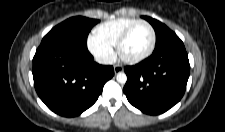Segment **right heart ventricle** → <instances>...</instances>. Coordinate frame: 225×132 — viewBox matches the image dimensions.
I'll list each match as a JSON object with an SVG mask.
<instances>
[{"label": "right heart ventricle", "mask_w": 225, "mask_h": 132, "mask_svg": "<svg viewBox=\"0 0 225 132\" xmlns=\"http://www.w3.org/2000/svg\"><path fill=\"white\" fill-rule=\"evenodd\" d=\"M135 21L137 19L129 17H120L105 21L95 27L94 36L100 41L114 47L121 33Z\"/></svg>", "instance_id": "right-heart-ventricle-1"}]
</instances>
